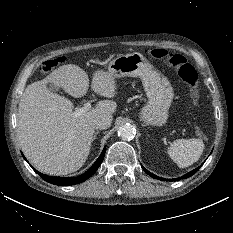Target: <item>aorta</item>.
<instances>
[{"instance_id": "aorta-1", "label": "aorta", "mask_w": 233, "mask_h": 233, "mask_svg": "<svg viewBox=\"0 0 233 233\" xmlns=\"http://www.w3.org/2000/svg\"><path fill=\"white\" fill-rule=\"evenodd\" d=\"M135 128L131 124H123L118 128V136L123 140H131L135 136Z\"/></svg>"}]
</instances>
